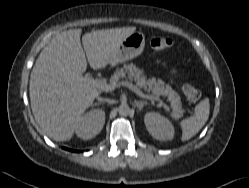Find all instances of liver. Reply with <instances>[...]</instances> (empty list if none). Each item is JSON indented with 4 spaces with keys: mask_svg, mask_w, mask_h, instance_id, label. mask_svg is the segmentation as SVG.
I'll return each mask as SVG.
<instances>
[{
    "mask_svg": "<svg viewBox=\"0 0 249 188\" xmlns=\"http://www.w3.org/2000/svg\"><path fill=\"white\" fill-rule=\"evenodd\" d=\"M135 30L122 27L86 33L83 50L81 29H72L57 34L42 50L31 72L29 94L34 118L51 139L70 140L81 115L101 93L84 82L87 60L95 70L104 68Z\"/></svg>",
    "mask_w": 249,
    "mask_h": 188,
    "instance_id": "1",
    "label": "liver"
}]
</instances>
